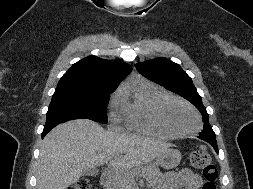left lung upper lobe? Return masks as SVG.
<instances>
[{
  "label": "left lung upper lobe",
  "instance_id": "1",
  "mask_svg": "<svg viewBox=\"0 0 253 189\" xmlns=\"http://www.w3.org/2000/svg\"><path fill=\"white\" fill-rule=\"evenodd\" d=\"M139 73L166 89L190 101L203 115L204 127L200 134L216 136L209 124V117L192 79L182 70L180 65L165 59L157 58L143 63H137Z\"/></svg>",
  "mask_w": 253,
  "mask_h": 189
}]
</instances>
